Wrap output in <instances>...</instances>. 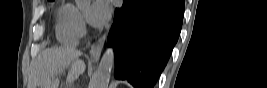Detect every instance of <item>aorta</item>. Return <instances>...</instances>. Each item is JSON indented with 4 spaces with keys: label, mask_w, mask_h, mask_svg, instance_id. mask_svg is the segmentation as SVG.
<instances>
[{
    "label": "aorta",
    "mask_w": 267,
    "mask_h": 88,
    "mask_svg": "<svg viewBox=\"0 0 267 88\" xmlns=\"http://www.w3.org/2000/svg\"><path fill=\"white\" fill-rule=\"evenodd\" d=\"M78 5H88L90 0H76ZM114 62L113 48H108L103 54L98 65L95 77L90 88H107L110 80V73Z\"/></svg>",
    "instance_id": "1"
}]
</instances>
